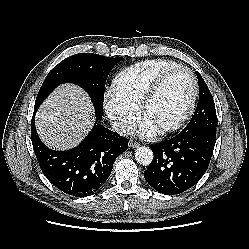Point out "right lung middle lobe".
<instances>
[{
    "instance_id": "1",
    "label": "right lung middle lobe",
    "mask_w": 249,
    "mask_h": 249,
    "mask_svg": "<svg viewBox=\"0 0 249 249\" xmlns=\"http://www.w3.org/2000/svg\"><path fill=\"white\" fill-rule=\"evenodd\" d=\"M121 57L109 58L93 53L72 55L57 64L46 76L35 101V110L60 84L74 83L87 91L98 119L102 118L106 78Z\"/></svg>"
}]
</instances>
